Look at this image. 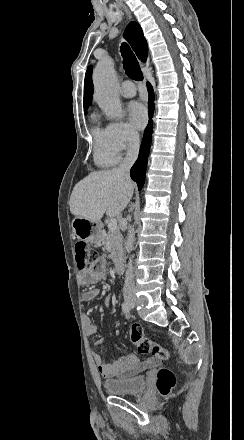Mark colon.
<instances>
[{
    "label": "colon",
    "mask_w": 244,
    "mask_h": 440,
    "mask_svg": "<svg viewBox=\"0 0 244 440\" xmlns=\"http://www.w3.org/2000/svg\"><path fill=\"white\" fill-rule=\"evenodd\" d=\"M98 252L95 249H89L84 241L75 244V261L79 271H83L89 264L98 261ZM130 331V341L134 343L141 354H151L163 360L170 358L169 350L163 349L158 343L146 337L139 324H134ZM175 384V376L168 370L161 369L156 378L158 392L162 396H168Z\"/></svg>",
    "instance_id": "obj_1"
}]
</instances>
